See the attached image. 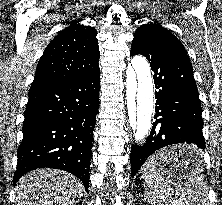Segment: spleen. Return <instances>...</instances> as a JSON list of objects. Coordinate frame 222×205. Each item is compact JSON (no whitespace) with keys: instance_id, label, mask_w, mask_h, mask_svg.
Returning <instances> with one entry per match:
<instances>
[{"instance_id":"obj_1","label":"spleen","mask_w":222,"mask_h":205,"mask_svg":"<svg viewBox=\"0 0 222 205\" xmlns=\"http://www.w3.org/2000/svg\"><path fill=\"white\" fill-rule=\"evenodd\" d=\"M166 161H169L167 157L154 154L142 166L145 194L150 202L153 205H209L204 177L194 173L176 182L163 168Z\"/></svg>"}]
</instances>
